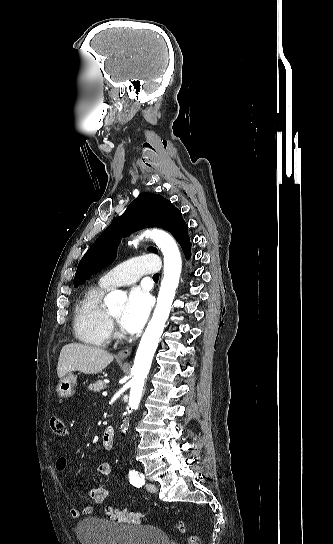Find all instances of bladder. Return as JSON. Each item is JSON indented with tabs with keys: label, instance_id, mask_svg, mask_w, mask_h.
Returning <instances> with one entry per match:
<instances>
[{
	"label": "bladder",
	"instance_id": "1",
	"mask_svg": "<svg viewBox=\"0 0 333 544\" xmlns=\"http://www.w3.org/2000/svg\"><path fill=\"white\" fill-rule=\"evenodd\" d=\"M80 544H170L168 535L151 525H127L86 518L76 526Z\"/></svg>",
	"mask_w": 333,
	"mask_h": 544
}]
</instances>
